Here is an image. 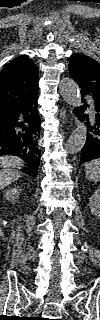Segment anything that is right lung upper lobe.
<instances>
[{
	"mask_svg": "<svg viewBox=\"0 0 100 320\" xmlns=\"http://www.w3.org/2000/svg\"><path fill=\"white\" fill-rule=\"evenodd\" d=\"M38 91V67L27 55L12 60L0 73V108L18 103Z\"/></svg>",
	"mask_w": 100,
	"mask_h": 320,
	"instance_id": "cb5924a9",
	"label": "right lung upper lobe"
}]
</instances>
